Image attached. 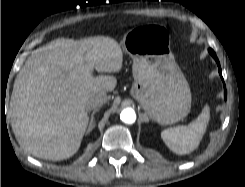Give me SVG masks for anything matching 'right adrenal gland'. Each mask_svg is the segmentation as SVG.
Segmentation results:
<instances>
[{
	"mask_svg": "<svg viewBox=\"0 0 245 187\" xmlns=\"http://www.w3.org/2000/svg\"><path fill=\"white\" fill-rule=\"evenodd\" d=\"M98 111H99L98 108H96V109H94V110L92 111L91 116H90V121H89V125H88L87 132H89L92 128L95 127V124H94V115H95V113L98 112Z\"/></svg>",
	"mask_w": 245,
	"mask_h": 187,
	"instance_id": "right-adrenal-gland-1",
	"label": "right adrenal gland"
}]
</instances>
